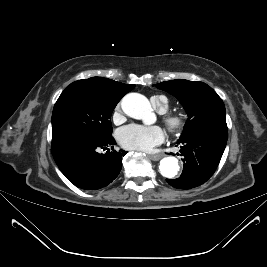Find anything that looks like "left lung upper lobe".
Returning a JSON list of instances; mask_svg holds the SVG:
<instances>
[{"label":"left lung upper lobe","instance_id":"left-lung-upper-lobe-1","mask_svg":"<svg viewBox=\"0 0 267 267\" xmlns=\"http://www.w3.org/2000/svg\"><path fill=\"white\" fill-rule=\"evenodd\" d=\"M156 87L178 98L188 113L179 141L204 132H228L224 103L207 84L178 79L161 82Z\"/></svg>","mask_w":267,"mask_h":267}]
</instances>
